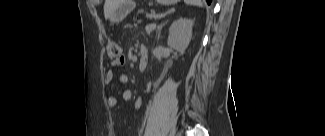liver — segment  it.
I'll list each match as a JSON object with an SVG mask.
<instances>
[{"label": "liver", "mask_w": 325, "mask_h": 136, "mask_svg": "<svg viewBox=\"0 0 325 136\" xmlns=\"http://www.w3.org/2000/svg\"><path fill=\"white\" fill-rule=\"evenodd\" d=\"M121 0H105L104 4V16L105 19H110L112 13L117 9Z\"/></svg>", "instance_id": "1"}]
</instances>
